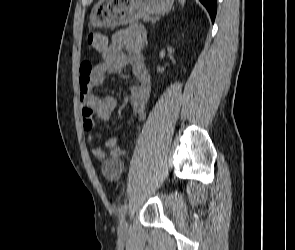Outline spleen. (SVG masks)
Wrapping results in <instances>:
<instances>
[{"instance_id": "1", "label": "spleen", "mask_w": 295, "mask_h": 250, "mask_svg": "<svg viewBox=\"0 0 295 250\" xmlns=\"http://www.w3.org/2000/svg\"><path fill=\"white\" fill-rule=\"evenodd\" d=\"M180 4L183 6L185 3V0H179Z\"/></svg>"}]
</instances>
